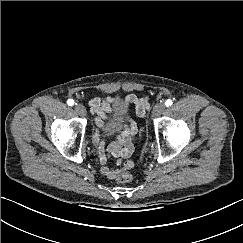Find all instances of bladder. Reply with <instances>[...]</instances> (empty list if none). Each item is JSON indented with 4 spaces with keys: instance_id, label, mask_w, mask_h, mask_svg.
Masks as SVG:
<instances>
[{
    "instance_id": "bladder-1",
    "label": "bladder",
    "mask_w": 243,
    "mask_h": 243,
    "mask_svg": "<svg viewBox=\"0 0 243 243\" xmlns=\"http://www.w3.org/2000/svg\"><path fill=\"white\" fill-rule=\"evenodd\" d=\"M127 110L124 104L116 103L113 107L112 113L105 124L104 132L111 135L118 131L126 122Z\"/></svg>"
}]
</instances>
